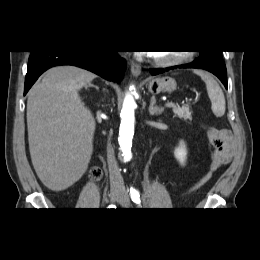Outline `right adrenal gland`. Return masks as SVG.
<instances>
[{"label":"right adrenal gland","mask_w":260,"mask_h":260,"mask_svg":"<svg viewBox=\"0 0 260 260\" xmlns=\"http://www.w3.org/2000/svg\"><path fill=\"white\" fill-rule=\"evenodd\" d=\"M90 87H93V88H95L96 90H99V87H98V86L93 85V84H91V83H89L87 86H85L86 89H87V88H90Z\"/></svg>","instance_id":"obj_1"}]
</instances>
